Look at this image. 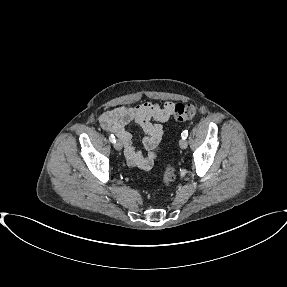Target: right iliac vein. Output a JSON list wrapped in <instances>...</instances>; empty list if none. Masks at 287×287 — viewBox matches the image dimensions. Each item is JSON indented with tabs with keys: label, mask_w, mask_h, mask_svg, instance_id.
Returning <instances> with one entry per match:
<instances>
[{
	"label": "right iliac vein",
	"mask_w": 287,
	"mask_h": 287,
	"mask_svg": "<svg viewBox=\"0 0 287 287\" xmlns=\"http://www.w3.org/2000/svg\"><path fill=\"white\" fill-rule=\"evenodd\" d=\"M114 148L120 151L122 149V142L120 140H116V142L114 143Z\"/></svg>",
	"instance_id": "1"
}]
</instances>
